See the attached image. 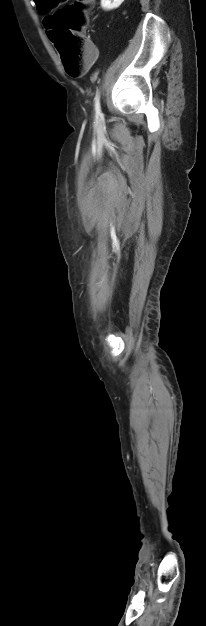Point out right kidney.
Wrapping results in <instances>:
<instances>
[{
    "label": "right kidney",
    "instance_id": "obj_1",
    "mask_svg": "<svg viewBox=\"0 0 206 626\" xmlns=\"http://www.w3.org/2000/svg\"><path fill=\"white\" fill-rule=\"evenodd\" d=\"M124 0H101V7L105 11H110L118 8Z\"/></svg>",
    "mask_w": 206,
    "mask_h": 626
}]
</instances>
